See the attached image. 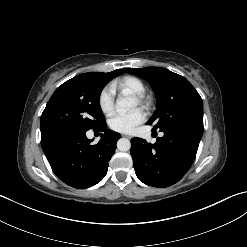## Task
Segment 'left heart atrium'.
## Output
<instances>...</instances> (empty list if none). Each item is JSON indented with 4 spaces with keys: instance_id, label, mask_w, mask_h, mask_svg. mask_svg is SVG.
<instances>
[{
    "instance_id": "obj_1",
    "label": "left heart atrium",
    "mask_w": 247,
    "mask_h": 247,
    "mask_svg": "<svg viewBox=\"0 0 247 247\" xmlns=\"http://www.w3.org/2000/svg\"><path fill=\"white\" fill-rule=\"evenodd\" d=\"M144 120L145 114L140 109H135L127 113H116L109 120V126L114 131L130 133Z\"/></svg>"
}]
</instances>
